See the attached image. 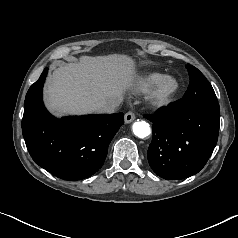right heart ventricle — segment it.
Returning <instances> with one entry per match:
<instances>
[{
  "label": "right heart ventricle",
  "mask_w": 238,
  "mask_h": 238,
  "mask_svg": "<svg viewBox=\"0 0 238 238\" xmlns=\"http://www.w3.org/2000/svg\"><path fill=\"white\" fill-rule=\"evenodd\" d=\"M163 75L161 72H150L142 75L136 82V89L140 92L149 91L153 84L159 80Z\"/></svg>",
  "instance_id": "1"
}]
</instances>
